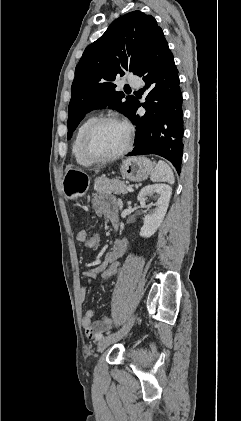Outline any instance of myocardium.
<instances>
[{"instance_id":"1","label":"myocardium","mask_w":241,"mask_h":421,"mask_svg":"<svg viewBox=\"0 0 241 421\" xmlns=\"http://www.w3.org/2000/svg\"><path fill=\"white\" fill-rule=\"evenodd\" d=\"M109 122H113V123H119L122 124L123 126H125L126 130H127V139H126V143L124 145V147L119 150L118 152L111 154V155H107V156H100L95 154L90 146L91 143V139L93 134L95 133V131L103 124L105 123H109ZM132 143H133V128L131 127V125L129 123H127L126 121L122 120L119 117L116 116H103V117H99L96 118L90 125L89 127L86 129L83 138H82V152L83 154L93 163H105V162H110L113 160H116L122 156H124L127 152H129V150L132 147Z\"/></svg>"}]
</instances>
